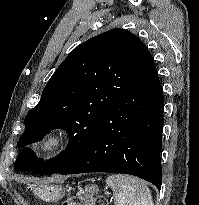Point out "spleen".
I'll return each instance as SVG.
<instances>
[{
    "label": "spleen",
    "instance_id": "3e777b00",
    "mask_svg": "<svg viewBox=\"0 0 199 205\" xmlns=\"http://www.w3.org/2000/svg\"><path fill=\"white\" fill-rule=\"evenodd\" d=\"M106 183L113 190L117 205H153L150 189L138 178L115 174L108 176Z\"/></svg>",
    "mask_w": 199,
    "mask_h": 205
}]
</instances>
